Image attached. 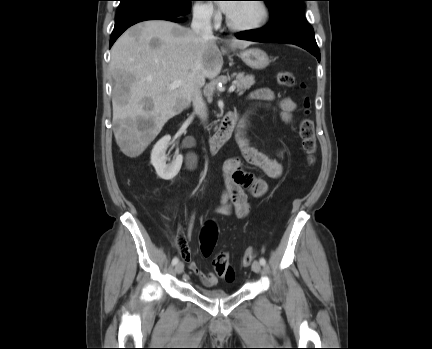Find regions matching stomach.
Wrapping results in <instances>:
<instances>
[{
    "label": "stomach",
    "instance_id": "stomach-1",
    "mask_svg": "<svg viewBox=\"0 0 432 349\" xmlns=\"http://www.w3.org/2000/svg\"><path fill=\"white\" fill-rule=\"evenodd\" d=\"M239 57L246 65L253 69H264L270 63L268 55L258 48L244 50L240 52Z\"/></svg>",
    "mask_w": 432,
    "mask_h": 349
}]
</instances>
